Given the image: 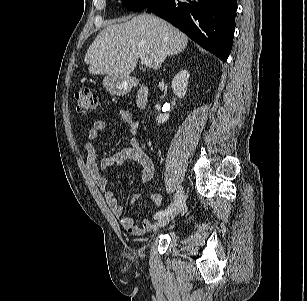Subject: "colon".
<instances>
[{"mask_svg":"<svg viewBox=\"0 0 307 301\" xmlns=\"http://www.w3.org/2000/svg\"><path fill=\"white\" fill-rule=\"evenodd\" d=\"M76 109L79 114H86L96 111L98 97L90 90L83 89L75 94Z\"/></svg>","mask_w":307,"mask_h":301,"instance_id":"obj_1","label":"colon"}]
</instances>
